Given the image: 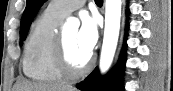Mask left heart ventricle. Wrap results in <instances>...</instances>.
Instances as JSON below:
<instances>
[{"label":"left heart ventricle","mask_w":173,"mask_h":91,"mask_svg":"<svg viewBox=\"0 0 173 91\" xmlns=\"http://www.w3.org/2000/svg\"><path fill=\"white\" fill-rule=\"evenodd\" d=\"M77 33L78 31L76 29H69L63 32V36L72 64L75 68H80L87 62L89 56L79 49Z\"/></svg>","instance_id":"left-heart-ventricle-1"}]
</instances>
